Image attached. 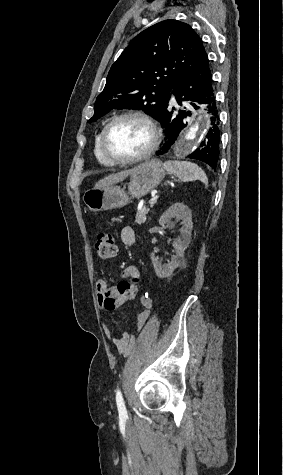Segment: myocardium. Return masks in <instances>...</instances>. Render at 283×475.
I'll return each instance as SVG.
<instances>
[{"label": "myocardium", "mask_w": 283, "mask_h": 475, "mask_svg": "<svg viewBox=\"0 0 283 475\" xmlns=\"http://www.w3.org/2000/svg\"><path fill=\"white\" fill-rule=\"evenodd\" d=\"M125 118H138V119L143 120L144 122H146L149 125V127L151 129V132H152L151 142H150L149 146L147 147V149L143 153H141L137 156L130 157V158L111 157V156L108 155L107 150H106V146H105L107 134H108L109 130L111 129V127L117 121H119L121 119H125ZM159 140H160V129L158 127V124H157L156 120L151 115H149L145 112H141V111H128V112H124V113H121V114L115 116L111 121H109L105 125V127L103 128V130L101 132V135H100L99 147H100L101 155L108 162H134V164H138V163H141L144 160L148 159L155 152L156 148L158 147Z\"/></svg>", "instance_id": "obj_1"}]
</instances>
